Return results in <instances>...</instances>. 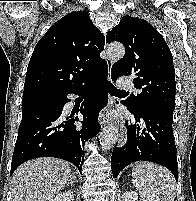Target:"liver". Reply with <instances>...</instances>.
<instances>
[{
  "mask_svg": "<svg viewBox=\"0 0 196 201\" xmlns=\"http://www.w3.org/2000/svg\"><path fill=\"white\" fill-rule=\"evenodd\" d=\"M71 178L68 162L51 157L29 160L13 173V201H49Z\"/></svg>",
  "mask_w": 196,
  "mask_h": 201,
  "instance_id": "6515ba94",
  "label": "liver"
}]
</instances>
